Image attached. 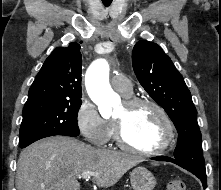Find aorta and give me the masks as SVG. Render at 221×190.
I'll return each instance as SVG.
<instances>
[{
    "label": "aorta",
    "mask_w": 221,
    "mask_h": 190,
    "mask_svg": "<svg viewBox=\"0 0 221 190\" xmlns=\"http://www.w3.org/2000/svg\"><path fill=\"white\" fill-rule=\"evenodd\" d=\"M85 85L91 100L98 106L102 117L112 114V107L119 100L109 83V64L105 59L95 60L88 68Z\"/></svg>",
    "instance_id": "762f6f07"
}]
</instances>
